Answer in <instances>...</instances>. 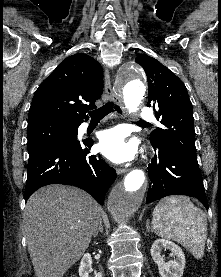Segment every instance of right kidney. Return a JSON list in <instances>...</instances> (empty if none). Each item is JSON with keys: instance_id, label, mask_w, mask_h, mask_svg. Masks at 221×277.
Segmentation results:
<instances>
[{"instance_id": "ca27d5eb", "label": "right kidney", "mask_w": 221, "mask_h": 277, "mask_svg": "<svg viewBox=\"0 0 221 277\" xmlns=\"http://www.w3.org/2000/svg\"><path fill=\"white\" fill-rule=\"evenodd\" d=\"M93 271L92 269V258L89 253L84 254L81 259L79 266V276L80 277H89V273ZM95 277H102L100 272H94Z\"/></svg>"}]
</instances>
